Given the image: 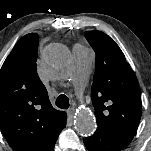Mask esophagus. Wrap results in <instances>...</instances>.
I'll list each match as a JSON object with an SVG mask.
<instances>
[{
    "mask_svg": "<svg viewBox=\"0 0 151 151\" xmlns=\"http://www.w3.org/2000/svg\"><path fill=\"white\" fill-rule=\"evenodd\" d=\"M74 112H75V109H74V108H70V109L68 110V114H69L70 118H72V117L74 116Z\"/></svg>",
    "mask_w": 151,
    "mask_h": 151,
    "instance_id": "34e87169",
    "label": "esophagus"
}]
</instances>
